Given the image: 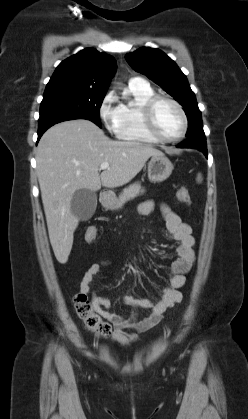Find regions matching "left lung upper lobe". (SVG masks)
Returning a JSON list of instances; mask_svg holds the SVG:
<instances>
[{"mask_svg": "<svg viewBox=\"0 0 248 419\" xmlns=\"http://www.w3.org/2000/svg\"><path fill=\"white\" fill-rule=\"evenodd\" d=\"M131 67L158 84L184 108L188 118L186 136L205 135L202 115L186 76L165 53L155 48H140L125 55Z\"/></svg>", "mask_w": 248, "mask_h": 419, "instance_id": "obj_1", "label": "left lung upper lobe"}]
</instances>
